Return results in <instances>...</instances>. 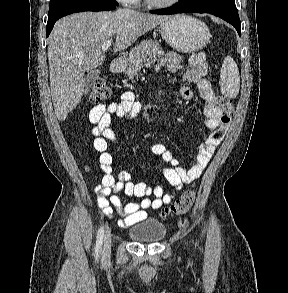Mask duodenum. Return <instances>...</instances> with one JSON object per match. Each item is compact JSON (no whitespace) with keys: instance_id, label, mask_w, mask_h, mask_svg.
Returning <instances> with one entry per match:
<instances>
[{"instance_id":"obj_1","label":"duodenum","mask_w":288,"mask_h":293,"mask_svg":"<svg viewBox=\"0 0 288 293\" xmlns=\"http://www.w3.org/2000/svg\"><path fill=\"white\" fill-rule=\"evenodd\" d=\"M124 68V60L122 58L114 59L110 64V70L113 73H119Z\"/></svg>"}]
</instances>
